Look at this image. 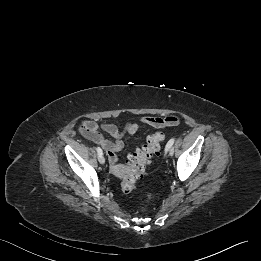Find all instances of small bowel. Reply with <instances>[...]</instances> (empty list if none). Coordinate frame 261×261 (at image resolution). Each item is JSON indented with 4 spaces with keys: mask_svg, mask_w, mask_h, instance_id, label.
Segmentation results:
<instances>
[{
    "mask_svg": "<svg viewBox=\"0 0 261 261\" xmlns=\"http://www.w3.org/2000/svg\"><path fill=\"white\" fill-rule=\"evenodd\" d=\"M178 123L179 117L176 115H168L164 118L142 116L137 122L124 124L102 123L99 125L93 120H84L79 125V132L87 139L100 145L106 151L110 164L114 166L118 160L117 153L124 148L122 138L125 135L135 134L139 130L140 125L164 128L177 125ZM101 130L112 136L113 140L104 138Z\"/></svg>",
    "mask_w": 261,
    "mask_h": 261,
    "instance_id": "1",
    "label": "small bowel"
}]
</instances>
